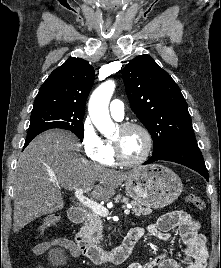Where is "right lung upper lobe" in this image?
Wrapping results in <instances>:
<instances>
[{"instance_id": "cb5924a9", "label": "right lung upper lobe", "mask_w": 221, "mask_h": 268, "mask_svg": "<svg viewBox=\"0 0 221 268\" xmlns=\"http://www.w3.org/2000/svg\"><path fill=\"white\" fill-rule=\"evenodd\" d=\"M94 79V68L86 60L69 58L40 87L32 111L63 109L84 113Z\"/></svg>"}]
</instances>
